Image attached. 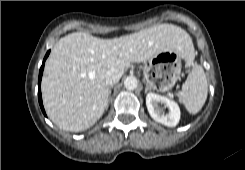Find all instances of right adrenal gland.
Wrapping results in <instances>:
<instances>
[{"label":"right adrenal gland","mask_w":245,"mask_h":170,"mask_svg":"<svg viewBox=\"0 0 245 170\" xmlns=\"http://www.w3.org/2000/svg\"><path fill=\"white\" fill-rule=\"evenodd\" d=\"M111 89H112V86L109 88V92H108V103L110 101V98H111ZM108 107V105H107Z\"/></svg>","instance_id":"right-adrenal-gland-1"}]
</instances>
